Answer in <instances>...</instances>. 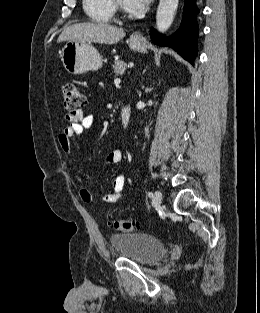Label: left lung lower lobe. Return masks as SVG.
I'll return each mask as SVG.
<instances>
[{"label": "left lung lower lobe", "mask_w": 260, "mask_h": 313, "mask_svg": "<svg viewBox=\"0 0 260 313\" xmlns=\"http://www.w3.org/2000/svg\"><path fill=\"white\" fill-rule=\"evenodd\" d=\"M199 13L196 0H185L183 19L178 31L170 38L154 34L151 30L152 41L160 46H169L183 58L193 64L197 54L198 24L196 15Z\"/></svg>", "instance_id": "0a47b994"}]
</instances>
